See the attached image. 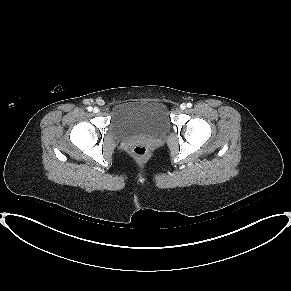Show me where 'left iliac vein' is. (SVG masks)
<instances>
[{"label":"left iliac vein","mask_w":291,"mask_h":291,"mask_svg":"<svg viewBox=\"0 0 291 291\" xmlns=\"http://www.w3.org/2000/svg\"><path fill=\"white\" fill-rule=\"evenodd\" d=\"M180 109H181V110H185V109H186V104H184V103L181 104V105H180Z\"/></svg>","instance_id":"1"}]
</instances>
